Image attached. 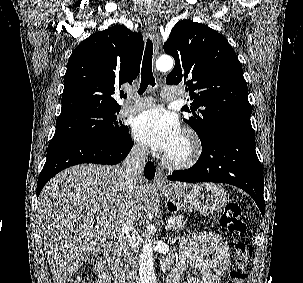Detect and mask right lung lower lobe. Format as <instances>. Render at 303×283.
<instances>
[{
	"label": "right lung lower lobe",
	"instance_id": "obj_1",
	"mask_svg": "<svg viewBox=\"0 0 303 283\" xmlns=\"http://www.w3.org/2000/svg\"><path fill=\"white\" fill-rule=\"evenodd\" d=\"M132 147L133 141L128 133L122 138L112 141L85 137L51 140L47 150L46 163L39 174L37 196L48 180L63 169L82 163L115 165L124 160ZM144 176L149 180L155 176V167L150 161L145 166Z\"/></svg>",
	"mask_w": 303,
	"mask_h": 283
}]
</instances>
